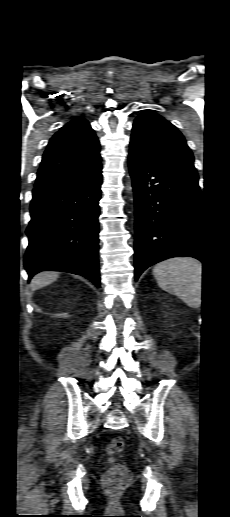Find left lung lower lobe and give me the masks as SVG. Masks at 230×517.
Wrapping results in <instances>:
<instances>
[{
	"label": "left lung lower lobe",
	"instance_id": "0a47b994",
	"mask_svg": "<svg viewBox=\"0 0 230 517\" xmlns=\"http://www.w3.org/2000/svg\"><path fill=\"white\" fill-rule=\"evenodd\" d=\"M135 198V280L162 260L190 256L201 247V192L196 170L129 152Z\"/></svg>",
	"mask_w": 230,
	"mask_h": 517
}]
</instances>
